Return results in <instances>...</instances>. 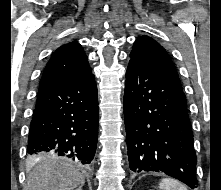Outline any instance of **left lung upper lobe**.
Here are the masks:
<instances>
[{
  "mask_svg": "<svg viewBox=\"0 0 221 190\" xmlns=\"http://www.w3.org/2000/svg\"><path fill=\"white\" fill-rule=\"evenodd\" d=\"M130 60L150 66L181 86L176 68L166 50L148 36L139 37L133 45Z\"/></svg>",
  "mask_w": 221,
  "mask_h": 190,
  "instance_id": "left-lung-upper-lobe-1",
  "label": "left lung upper lobe"
}]
</instances>
